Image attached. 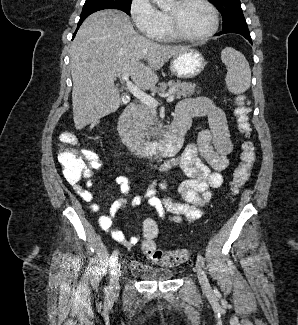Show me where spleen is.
Here are the masks:
<instances>
[{
    "mask_svg": "<svg viewBox=\"0 0 298 325\" xmlns=\"http://www.w3.org/2000/svg\"><path fill=\"white\" fill-rule=\"evenodd\" d=\"M221 60L227 66L225 84L233 94H241L250 88L251 68L244 54L232 46H225L221 50Z\"/></svg>",
    "mask_w": 298,
    "mask_h": 325,
    "instance_id": "obj_1",
    "label": "spleen"
}]
</instances>
